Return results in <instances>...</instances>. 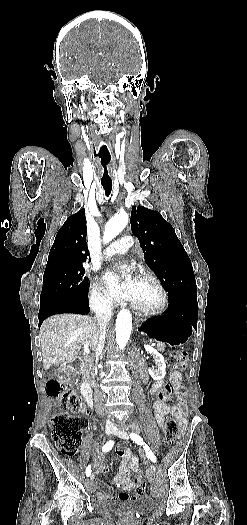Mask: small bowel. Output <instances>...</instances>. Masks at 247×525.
Masks as SVG:
<instances>
[{
    "label": "small bowel",
    "mask_w": 247,
    "mask_h": 525,
    "mask_svg": "<svg viewBox=\"0 0 247 525\" xmlns=\"http://www.w3.org/2000/svg\"><path fill=\"white\" fill-rule=\"evenodd\" d=\"M170 384L176 388V394L178 398L184 396V390L181 386L182 379L179 371L174 370L170 374ZM158 386H154L151 389V393L154 394L157 391ZM154 418L159 427H163L165 423V418L168 415L176 417L179 421L180 427L185 425V415L181 405H168L165 400L160 397L157 398L154 403ZM117 453L120 457V463L118 468V473L114 478L115 483L123 489L118 496L119 500L126 501L130 500L132 496L130 492L134 490L135 486L129 478L131 471L139 472L140 471V462L138 457L132 455L130 450H128L123 444H120L117 448ZM98 462H101V459H98ZM99 466H102V463H99ZM104 475L109 474V469L104 468L102 470ZM94 486L98 490V497L101 499H112L113 497L106 494L109 490L107 481L103 478L96 479L94 481Z\"/></svg>",
    "instance_id": "c3829d8e"
}]
</instances>
